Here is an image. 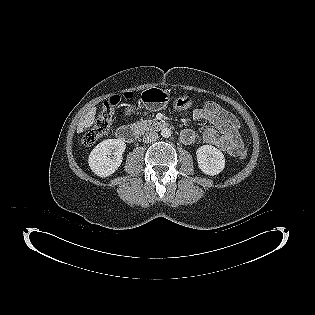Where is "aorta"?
<instances>
[{
    "label": "aorta",
    "instance_id": "762f6f07",
    "mask_svg": "<svg viewBox=\"0 0 315 315\" xmlns=\"http://www.w3.org/2000/svg\"><path fill=\"white\" fill-rule=\"evenodd\" d=\"M161 135L164 138H169L171 136V130L169 128H164L161 130Z\"/></svg>",
    "mask_w": 315,
    "mask_h": 315
}]
</instances>
